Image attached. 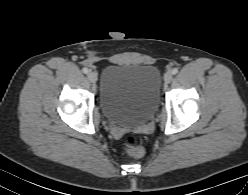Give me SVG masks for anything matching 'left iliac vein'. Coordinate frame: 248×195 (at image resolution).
I'll return each mask as SVG.
<instances>
[{"label": "left iliac vein", "mask_w": 248, "mask_h": 195, "mask_svg": "<svg viewBox=\"0 0 248 195\" xmlns=\"http://www.w3.org/2000/svg\"><path fill=\"white\" fill-rule=\"evenodd\" d=\"M173 79V75L171 72H167L165 75H164V81L166 83H170Z\"/></svg>", "instance_id": "1"}]
</instances>
